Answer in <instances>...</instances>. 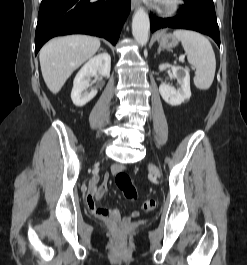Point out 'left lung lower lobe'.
Segmentation results:
<instances>
[{
    "label": "left lung lower lobe",
    "mask_w": 247,
    "mask_h": 265,
    "mask_svg": "<svg viewBox=\"0 0 247 265\" xmlns=\"http://www.w3.org/2000/svg\"><path fill=\"white\" fill-rule=\"evenodd\" d=\"M181 13L172 18H158L150 14L151 31L160 28L195 30L212 37L220 47L219 27L212 0H184Z\"/></svg>",
    "instance_id": "1"
}]
</instances>
